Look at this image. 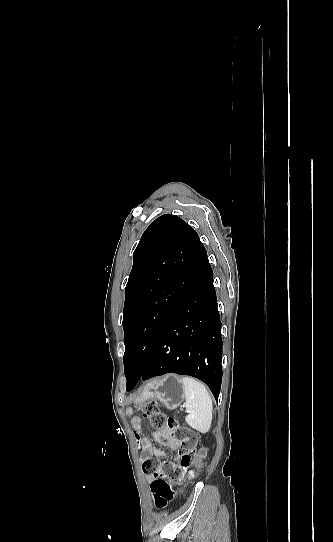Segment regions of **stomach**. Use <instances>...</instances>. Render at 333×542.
<instances>
[{
    "instance_id": "stomach-1",
    "label": "stomach",
    "mask_w": 333,
    "mask_h": 542,
    "mask_svg": "<svg viewBox=\"0 0 333 542\" xmlns=\"http://www.w3.org/2000/svg\"><path fill=\"white\" fill-rule=\"evenodd\" d=\"M146 400H158L167 410H176L185 400L181 378L175 374H166L162 378L150 380L144 386L138 402H146Z\"/></svg>"
}]
</instances>
